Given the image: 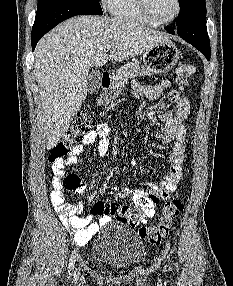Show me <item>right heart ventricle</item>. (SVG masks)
<instances>
[{
  "instance_id": "e07e8e85",
  "label": "right heart ventricle",
  "mask_w": 233,
  "mask_h": 286,
  "mask_svg": "<svg viewBox=\"0 0 233 286\" xmlns=\"http://www.w3.org/2000/svg\"><path fill=\"white\" fill-rule=\"evenodd\" d=\"M106 7L116 18L151 24L139 10L136 0H108Z\"/></svg>"
}]
</instances>
